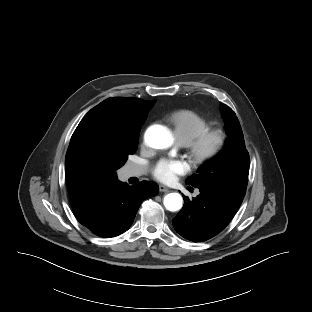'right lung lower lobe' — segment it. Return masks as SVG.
Wrapping results in <instances>:
<instances>
[{
  "label": "right lung lower lobe",
  "mask_w": 312,
  "mask_h": 312,
  "mask_svg": "<svg viewBox=\"0 0 312 312\" xmlns=\"http://www.w3.org/2000/svg\"><path fill=\"white\" fill-rule=\"evenodd\" d=\"M158 185L143 181L138 187L114 181L90 201L83 209L74 212L78 221L94 234L114 237L132 225L143 200L158 194Z\"/></svg>",
  "instance_id": "obj_1"
}]
</instances>
